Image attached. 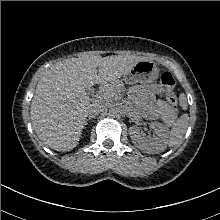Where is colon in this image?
<instances>
[{
  "instance_id": "5ec220e1",
  "label": "colon",
  "mask_w": 220,
  "mask_h": 220,
  "mask_svg": "<svg viewBox=\"0 0 220 220\" xmlns=\"http://www.w3.org/2000/svg\"><path fill=\"white\" fill-rule=\"evenodd\" d=\"M161 84L164 89L167 100L178 109V99L174 93L175 79L170 72H163L161 74Z\"/></svg>"
}]
</instances>
